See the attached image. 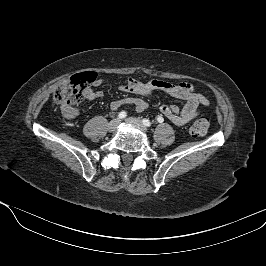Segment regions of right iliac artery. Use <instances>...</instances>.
I'll return each instance as SVG.
<instances>
[{"label": "right iliac artery", "mask_w": 266, "mask_h": 266, "mask_svg": "<svg viewBox=\"0 0 266 266\" xmlns=\"http://www.w3.org/2000/svg\"><path fill=\"white\" fill-rule=\"evenodd\" d=\"M127 116V113L125 112V111H122V112H120L119 114H118V118L119 119H123V118H125Z\"/></svg>", "instance_id": "obj_1"}]
</instances>
